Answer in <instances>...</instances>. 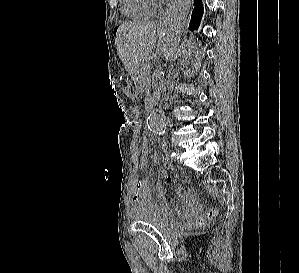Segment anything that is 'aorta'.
<instances>
[{"label": "aorta", "mask_w": 299, "mask_h": 273, "mask_svg": "<svg viewBox=\"0 0 299 273\" xmlns=\"http://www.w3.org/2000/svg\"><path fill=\"white\" fill-rule=\"evenodd\" d=\"M191 0H174L171 3L167 25L163 37V57L167 62L176 52L181 34L184 29L187 14L190 9ZM148 129L156 134H164L165 117L162 111L153 109L147 119Z\"/></svg>", "instance_id": "obj_1"}]
</instances>
